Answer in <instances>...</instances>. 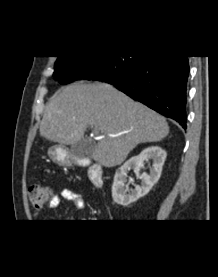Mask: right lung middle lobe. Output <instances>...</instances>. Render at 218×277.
I'll return each instance as SVG.
<instances>
[{"label": "right lung middle lobe", "mask_w": 218, "mask_h": 277, "mask_svg": "<svg viewBox=\"0 0 218 277\" xmlns=\"http://www.w3.org/2000/svg\"><path fill=\"white\" fill-rule=\"evenodd\" d=\"M145 55L138 56H59L55 63L53 77L61 84L85 79L95 75L104 80H125L145 60Z\"/></svg>", "instance_id": "1"}]
</instances>
